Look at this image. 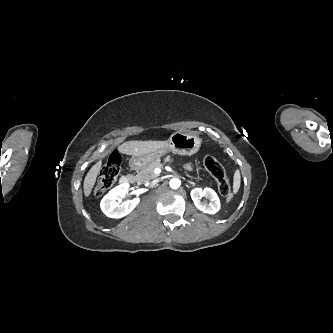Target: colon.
Wrapping results in <instances>:
<instances>
[{
	"instance_id": "1",
	"label": "colon",
	"mask_w": 333,
	"mask_h": 333,
	"mask_svg": "<svg viewBox=\"0 0 333 333\" xmlns=\"http://www.w3.org/2000/svg\"><path fill=\"white\" fill-rule=\"evenodd\" d=\"M121 161L122 158L119 152H113L109 156L94 186L95 195H102L114 185L120 173ZM203 165L206 171L217 181L220 193L223 196H229L232 191L231 177L225 167L212 155H206L203 158Z\"/></svg>"
}]
</instances>
